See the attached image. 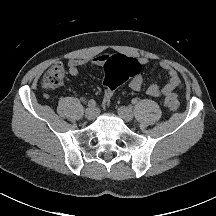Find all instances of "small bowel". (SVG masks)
Segmentation results:
<instances>
[{
    "mask_svg": "<svg viewBox=\"0 0 216 216\" xmlns=\"http://www.w3.org/2000/svg\"><path fill=\"white\" fill-rule=\"evenodd\" d=\"M120 56L126 57V56L118 55V54L116 55L102 54V55H98L96 57L89 58V59H81V60L74 59V60L68 61L67 69L70 75L76 76L79 72L80 66L84 64H90L96 67H105L109 61L116 59ZM126 58H129L137 62L141 66L146 65L148 63V59L146 57L129 56ZM159 65L164 71H166L167 80L163 84V86H159L158 84L153 83L147 87L146 92L148 95L152 97H161L163 95L173 93L176 89H179L182 87V82H181V79L177 71L173 68V66L169 62L161 61ZM143 85H144V80L141 75L134 76L129 82V88L133 91H140Z\"/></svg>",
    "mask_w": 216,
    "mask_h": 216,
    "instance_id": "obj_1",
    "label": "small bowel"
}]
</instances>
